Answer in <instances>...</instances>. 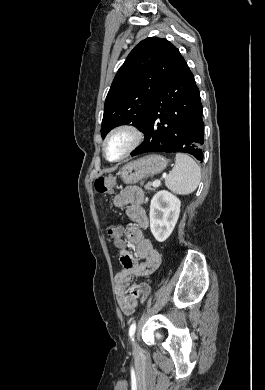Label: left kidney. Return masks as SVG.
I'll use <instances>...</instances> for the list:
<instances>
[{"instance_id": "left-kidney-1", "label": "left kidney", "mask_w": 265, "mask_h": 390, "mask_svg": "<svg viewBox=\"0 0 265 390\" xmlns=\"http://www.w3.org/2000/svg\"><path fill=\"white\" fill-rule=\"evenodd\" d=\"M181 201L172 193L157 192L150 204V229L158 242H164L172 233L179 218Z\"/></svg>"}]
</instances>
